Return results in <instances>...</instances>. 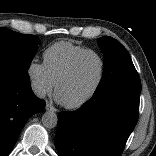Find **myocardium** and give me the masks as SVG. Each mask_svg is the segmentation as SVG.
Wrapping results in <instances>:
<instances>
[{"label":"myocardium","mask_w":156,"mask_h":156,"mask_svg":"<svg viewBox=\"0 0 156 156\" xmlns=\"http://www.w3.org/2000/svg\"><path fill=\"white\" fill-rule=\"evenodd\" d=\"M95 55L98 57L100 64H101V70H100V76L98 78L97 83L95 84V86L93 87V89L81 100L75 102V103H63L61 101V104L67 108V109H78L81 108L82 106L86 105L89 101H91L95 95L98 93V91L100 90L104 78H105V73H106V64H105V60L104 57L102 56L101 53H99L96 50L93 49H87L81 53H79L69 64L68 68L65 70V72L60 76V78L57 80L56 85H55V95L58 98V90L59 88L71 77V75L74 72V69L76 67V65L78 64V62L85 56L87 55Z\"/></svg>","instance_id":"1"}]
</instances>
